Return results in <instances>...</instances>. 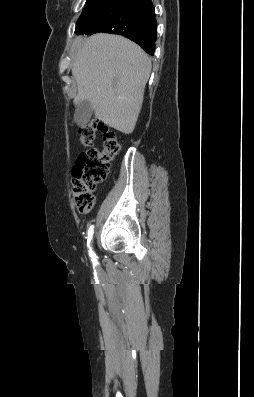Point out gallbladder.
<instances>
[{
    "mask_svg": "<svg viewBox=\"0 0 254 397\" xmlns=\"http://www.w3.org/2000/svg\"><path fill=\"white\" fill-rule=\"evenodd\" d=\"M92 112V104L88 100L80 101L74 114V120L76 124L79 126H85L89 122Z\"/></svg>",
    "mask_w": 254,
    "mask_h": 397,
    "instance_id": "bac80fb5",
    "label": "gallbladder"
}]
</instances>
